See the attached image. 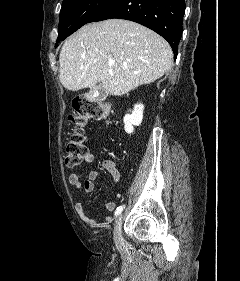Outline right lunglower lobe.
I'll return each instance as SVG.
<instances>
[{
	"instance_id": "1",
	"label": "right lung lower lobe",
	"mask_w": 240,
	"mask_h": 281,
	"mask_svg": "<svg viewBox=\"0 0 240 281\" xmlns=\"http://www.w3.org/2000/svg\"><path fill=\"white\" fill-rule=\"evenodd\" d=\"M184 11L185 0H116L94 22L119 18L142 24L169 42L175 58Z\"/></svg>"
}]
</instances>
